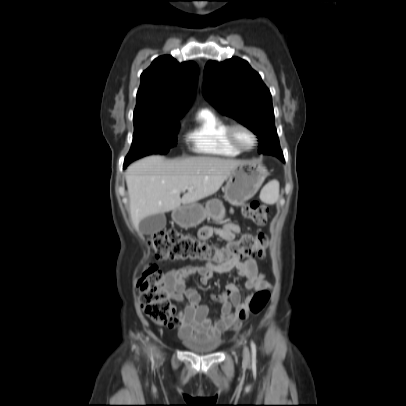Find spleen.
I'll return each instance as SVG.
<instances>
[{
	"mask_svg": "<svg viewBox=\"0 0 406 406\" xmlns=\"http://www.w3.org/2000/svg\"><path fill=\"white\" fill-rule=\"evenodd\" d=\"M261 198L268 204H274L279 198V182L277 180L268 182L261 191Z\"/></svg>",
	"mask_w": 406,
	"mask_h": 406,
	"instance_id": "obj_1",
	"label": "spleen"
}]
</instances>
